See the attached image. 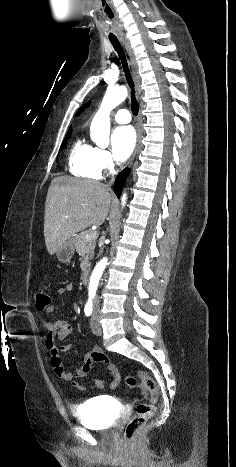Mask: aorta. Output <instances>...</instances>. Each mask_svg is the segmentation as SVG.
Masks as SVG:
<instances>
[{"label": "aorta", "instance_id": "762f6f07", "mask_svg": "<svg viewBox=\"0 0 236 467\" xmlns=\"http://www.w3.org/2000/svg\"><path fill=\"white\" fill-rule=\"evenodd\" d=\"M128 95L127 88L125 86L120 87H109L103 97L101 106L97 113L95 114L91 126H90V136L91 139L98 146H106L108 143L109 133H110V112L122 103ZM127 196L123 193L121 201L122 206L126 204ZM108 259L104 257L101 259L95 266L89 281L88 294L89 298H93L100 278L103 274V271L107 265Z\"/></svg>", "mask_w": 236, "mask_h": 467}]
</instances>
